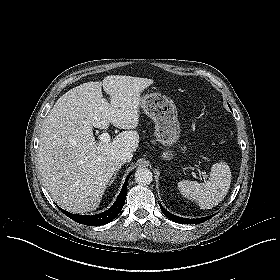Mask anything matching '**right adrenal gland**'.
<instances>
[{
  "label": "right adrenal gland",
  "instance_id": "1",
  "mask_svg": "<svg viewBox=\"0 0 280 280\" xmlns=\"http://www.w3.org/2000/svg\"><path fill=\"white\" fill-rule=\"evenodd\" d=\"M123 164H124V163H120V164H119L117 170H116L115 173H114V176L112 177V179H111V181H110V183H109V186H110L111 184H113L114 181L116 180L117 174H118V172H119V170L121 169V166H122Z\"/></svg>",
  "mask_w": 280,
  "mask_h": 280
}]
</instances>
